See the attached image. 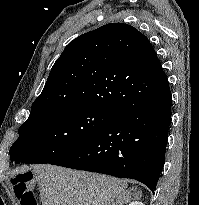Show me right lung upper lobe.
I'll return each mask as SVG.
<instances>
[{"instance_id": "cb5924a9", "label": "right lung upper lobe", "mask_w": 199, "mask_h": 205, "mask_svg": "<svg viewBox=\"0 0 199 205\" xmlns=\"http://www.w3.org/2000/svg\"><path fill=\"white\" fill-rule=\"evenodd\" d=\"M160 73L148 38L128 24L110 23L65 47L31 109L68 104L115 112L153 89Z\"/></svg>"}]
</instances>
